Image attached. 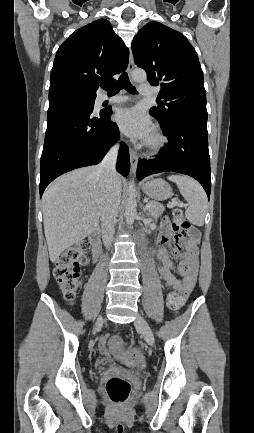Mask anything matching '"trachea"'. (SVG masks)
I'll list each match as a JSON object with an SVG mask.
<instances>
[{"instance_id":"3493384b","label":"trachea","mask_w":254,"mask_h":433,"mask_svg":"<svg viewBox=\"0 0 254 433\" xmlns=\"http://www.w3.org/2000/svg\"><path fill=\"white\" fill-rule=\"evenodd\" d=\"M101 87L106 90L109 95L117 94L122 88H125L130 93L137 94V90L131 84L126 72L121 74L116 83L112 85H102Z\"/></svg>"}]
</instances>
